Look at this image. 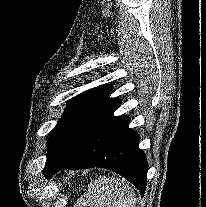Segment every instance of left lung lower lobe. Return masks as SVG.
<instances>
[{"instance_id":"obj_1","label":"left lung lower lobe","mask_w":206,"mask_h":207,"mask_svg":"<svg viewBox=\"0 0 206 207\" xmlns=\"http://www.w3.org/2000/svg\"><path fill=\"white\" fill-rule=\"evenodd\" d=\"M118 100L93 126L88 136L67 160L54 164L45 175L51 177L64 168L101 167L112 170L133 183L141 195L146 189L148 164L139 149V136L128 128L127 116H113Z\"/></svg>"}]
</instances>
